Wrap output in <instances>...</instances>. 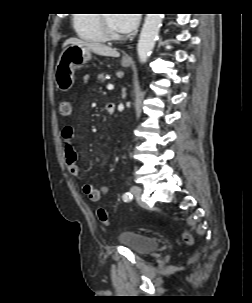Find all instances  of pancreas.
<instances>
[{
  "mask_svg": "<svg viewBox=\"0 0 252 303\" xmlns=\"http://www.w3.org/2000/svg\"><path fill=\"white\" fill-rule=\"evenodd\" d=\"M105 76H106V73H100V74H98L97 79L100 82H104L105 81Z\"/></svg>",
  "mask_w": 252,
  "mask_h": 303,
  "instance_id": "cf45deb5",
  "label": "pancreas"
}]
</instances>
